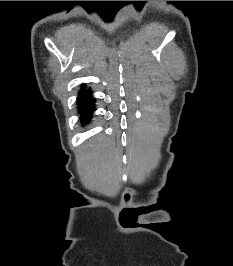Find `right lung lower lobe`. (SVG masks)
<instances>
[{"label":"right lung lower lobe","mask_w":233,"mask_h":266,"mask_svg":"<svg viewBox=\"0 0 233 266\" xmlns=\"http://www.w3.org/2000/svg\"><path fill=\"white\" fill-rule=\"evenodd\" d=\"M94 103H95V99L92 98L82 86L80 97L78 99V104L82 111L81 120L83 122L87 123L89 121L91 113L95 110Z\"/></svg>","instance_id":"right-lung-lower-lobe-1"}]
</instances>
